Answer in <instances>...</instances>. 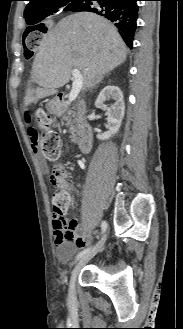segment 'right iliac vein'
Here are the masks:
<instances>
[{
    "label": "right iliac vein",
    "mask_w": 183,
    "mask_h": 329,
    "mask_svg": "<svg viewBox=\"0 0 183 329\" xmlns=\"http://www.w3.org/2000/svg\"><path fill=\"white\" fill-rule=\"evenodd\" d=\"M107 234L100 239V241L90 250L88 251L76 264L72 271V275L69 282V291H68V299L70 303H73L76 298V279L80 270L99 252L103 249Z\"/></svg>",
    "instance_id": "right-iliac-vein-1"
}]
</instances>
